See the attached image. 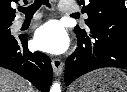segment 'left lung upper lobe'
<instances>
[{"instance_id":"1","label":"left lung upper lobe","mask_w":127,"mask_h":92,"mask_svg":"<svg viewBox=\"0 0 127 92\" xmlns=\"http://www.w3.org/2000/svg\"><path fill=\"white\" fill-rule=\"evenodd\" d=\"M83 5L82 12L88 14L86 24L89 29L75 27L77 34L87 33L90 29L101 25L127 27V9L124 0H79Z\"/></svg>"}]
</instances>
